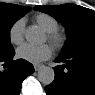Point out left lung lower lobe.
Returning <instances> with one entry per match:
<instances>
[{
  "instance_id": "1",
  "label": "left lung lower lobe",
  "mask_w": 95,
  "mask_h": 95,
  "mask_svg": "<svg viewBox=\"0 0 95 95\" xmlns=\"http://www.w3.org/2000/svg\"><path fill=\"white\" fill-rule=\"evenodd\" d=\"M54 68L55 80L45 87L48 95H95V51L60 55Z\"/></svg>"
}]
</instances>
